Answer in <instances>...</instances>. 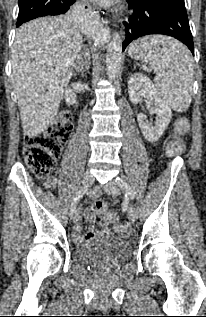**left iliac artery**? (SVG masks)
Masks as SVG:
<instances>
[{"instance_id":"left-iliac-artery-1","label":"left iliac artery","mask_w":206,"mask_h":317,"mask_svg":"<svg viewBox=\"0 0 206 317\" xmlns=\"http://www.w3.org/2000/svg\"><path fill=\"white\" fill-rule=\"evenodd\" d=\"M117 183L120 186V188L124 191L126 196H128L131 200L135 198V193L124 179L117 178Z\"/></svg>"}]
</instances>
